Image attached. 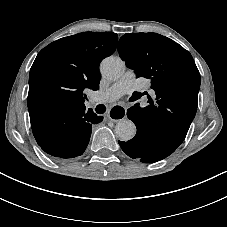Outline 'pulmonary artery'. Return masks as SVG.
I'll list each match as a JSON object with an SVG mask.
<instances>
[{
  "mask_svg": "<svg viewBox=\"0 0 227 227\" xmlns=\"http://www.w3.org/2000/svg\"><path fill=\"white\" fill-rule=\"evenodd\" d=\"M138 80L133 71H127L118 81H116L110 88L106 90L96 91L91 96L92 102L111 103L130 93L136 87ZM151 95L155 97V92L150 91Z\"/></svg>",
  "mask_w": 227,
  "mask_h": 227,
  "instance_id": "1",
  "label": "pulmonary artery"
}]
</instances>
